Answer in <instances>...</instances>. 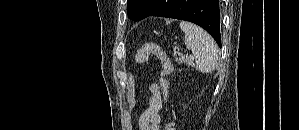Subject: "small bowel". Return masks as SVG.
Returning a JSON list of instances; mask_svg holds the SVG:
<instances>
[{
	"label": "small bowel",
	"mask_w": 299,
	"mask_h": 130,
	"mask_svg": "<svg viewBox=\"0 0 299 130\" xmlns=\"http://www.w3.org/2000/svg\"><path fill=\"white\" fill-rule=\"evenodd\" d=\"M162 108V93L160 86L152 83L149 86L147 105L139 117V130H160V110Z\"/></svg>",
	"instance_id": "obj_1"
}]
</instances>
